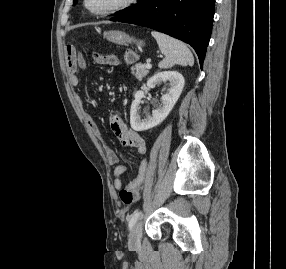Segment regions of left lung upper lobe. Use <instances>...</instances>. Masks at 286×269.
<instances>
[{
  "label": "left lung upper lobe",
  "mask_w": 286,
  "mask_h": 269,
  "mask_svg": "<svg viewBox=\"0 0 286 269\" xmlns=\"http://www.w3.org/2000/svg\"><path fill=\"white\" fill-rule=\"evenodd\" d=\"M149 0H138V4L135 7H128L125 10L119 11L118 13H120L118 16H116L115 18H112L111 20H116V19H120L123 18L125 16L128 15H132L133 13L141 10L143 7H145V5L147 4ZM77 0H73V3H76Z\"/></svg>",
  "instance_id": "1"
}]
</instances>
